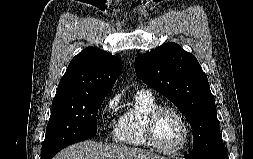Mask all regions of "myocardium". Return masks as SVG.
Returning a JSON list of instances; mask_svg holds the SVG:
<instances>
[{"mask_svg":"<svg viewBox=\"0 0 253 159\" xmlns=\"http://www.w3.org/2000/svg\"><path fill=\"white\" fill-rule=\"evenodd\" d=\"M165 111H170L176 114L179 117L184 127L183 139L181 143L175 148L169 149V148L162 147L158 143L157 138H156V134H155L156 121L158 117L160 116V114ZM143 132H144V137L149 146L167 155L178 154L179 152H181L188 144L189 138H190V126L186 117L183 115V113L179 109L172 106H168V105H158L157 107L153 108L148 113L145 123H144Z\"/></svg>","mask_w":253,"mask_h":159,"instance_id":"obj_1","label":"myocardium"}]
</instances>
